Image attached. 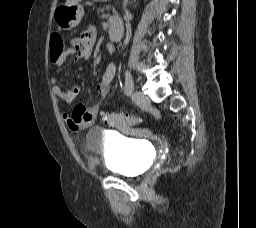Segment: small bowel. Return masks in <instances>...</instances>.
Returning a JSON list of instances; mask_svg holds the SVG:
<instances>
[{
  "label": "small bowel",
  "mask_w": 256,
  "mask_h": 228,
  "mask_svg": "<svg viewBox=\"0 0 256 228\" xmlns=\"http://www.w3.org/2000/svg\"><path fill=\"white\" fill-rule=\"evenodd\" d=\"M118 19H113V21ZM96 41V29L93 26H89L81 35L73 42L72 46L62 52L57 58L51 61L56 66H61L66 61L69 55H74L75 60H88L94 50ZM108 50L113 53L114 47L112 44H108ZM116 65L111 62L104 74L102 75L101 81L96 86L97 100L92 105L78 104L73 109L72 113L64 114V119L67 126L72 131H79L87 129L93 125L97 118L99 105L101 101L109 94L111 88V82L116 74ZM51 88L55 95L59 96L64 102L72 103L80 93V86L73 85L72 87L62 90L58 85L56 77L51 79Z\"/></svg>",
  "instance_id": "small-bowel-1"
}]
</instances>
